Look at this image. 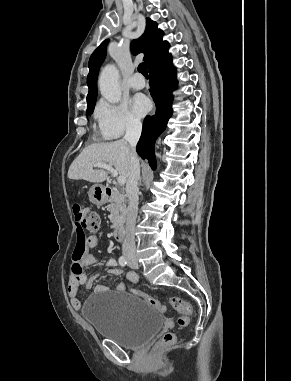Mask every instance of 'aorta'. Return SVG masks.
<instances>
[{
	"instance_id": "762f6f07",
	"label": "aorta",
	"mask_w": 291,
	"mask_h": 381,
	"mask_svg": "<svg viewBox=\"0 0 291 381\" xmlns=\"http://www.w3.org/2000/svg\"><path fill=\"white\" fill-rule=\"evenodd\" d=\"M99 89L101 95L110 103L121 100L119 88V71L114 64L106 65L99 76Z\"/></svg>"
}]
</instances>
